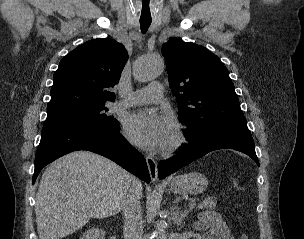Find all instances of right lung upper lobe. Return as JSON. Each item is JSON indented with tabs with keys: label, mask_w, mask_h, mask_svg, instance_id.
Returning a JSON list of instances; mask_svg holds the SVG:
<instances>
[{
	"label": "right lung upper lobe",
	"mask_w": 304,
	"mask_h": 239,
	"mask_svg": "<svg viewBox=\"0 0 304 239\" xmlns=\"http://www.w3.org/2000/svg\"><path fill=\"white\" fill-rule=\"evenodd\" d=\"M125 47L113 39H95L68 53L53 76L47 115L105 106L127 62ZM47 116V117H48Z\"/></svg>",
	"instance_id": "right-lung-upper-lobe-1"
}]
</instances>
